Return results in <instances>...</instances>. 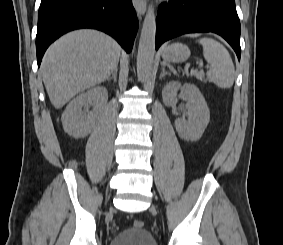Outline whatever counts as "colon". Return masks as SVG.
Instances as JSON below:
<instances>
[{"label": "colon", "instance_id": "1", "mask_svg": "<svg viewBox=\"0 0 283 245\" xmlns=\"http://www.w3.org/2000/svg\"><path fill=\"white\" fill-rule=\"evenodd\" d=\"M133 225L135 228H142L144 226V223L141 220H135Z\"/></svg>", "mask_w": 283, "mask_h": 245}]
</instances>
